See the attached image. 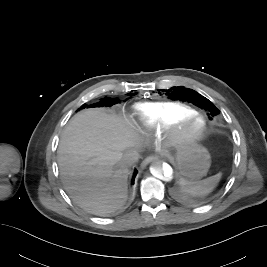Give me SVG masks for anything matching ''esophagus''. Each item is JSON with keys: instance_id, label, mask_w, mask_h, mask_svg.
Here are the masks:
<instances>
[{"instance_id": "esophagus-1", "label": "esophagus", "mask_w": 267, "mask_h": 267, "mask_svg": "<svg viewBox=\"0 0 267 267\" xmlns=\"http://www.w3.org/2000/svg\"><path fill=\"white\" fill-rule=\"evenodd\" d=\"M157 159V157L155 156H149L146 159H144L141 163V168H145L149 163H151L152 161H155Z\"/></svg>"}]
</instances>
